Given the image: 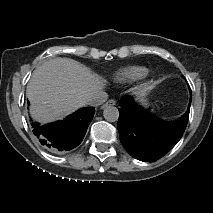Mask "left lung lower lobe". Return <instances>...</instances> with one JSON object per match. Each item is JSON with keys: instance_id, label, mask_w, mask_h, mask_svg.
Listing matches in <instances>:
<instances>
[{"instance_id": "1", "label": "left lung lower lobe", "mask_w": 213, "mask_h": 213, "mask_svg": "<svg viewBox=\"0 0 213 213\" xmlns=\"http://www.w3.org/2000/svg\"><path fill=\"white\" fill-rule=\"evenodd\" d=\"M182 118L161 121L136 105L133 98L120 100L118 130L120 141L128 153L141 161H155L164 156L182 137L187 126L191 104Z\"/></svg>"}]
</instances>
